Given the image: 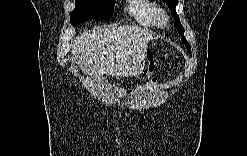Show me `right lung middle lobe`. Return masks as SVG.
I'll return each mask as SVG.
<instances>
[{
    "label": "right lung middle lobe",
    "mask_w": 247,
    "mask_h": 156,
    "mask_svg": "<svg viewBox=\"0 0 247 156\" xmlns=\"http://www.w3.org/2000/svg\"><path fill=\"white\" fill-rule=\"evenodd\" d=\"M70 21L78 25L89 19L103 20L113 15L115 0H76Z\"/></svg>",
    "instance_id": "obj_1"
}]
</instances>
